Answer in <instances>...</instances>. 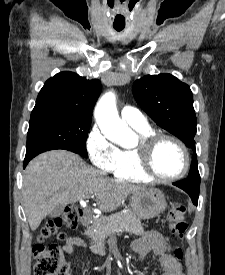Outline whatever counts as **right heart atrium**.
I'll return each mask as SVG.
<instances>
[{"label": "right heart atrium", "mask_w": 225, "mask_h": 275, "mask_svg": "<svg viewBox=\"0 0 225 275\" xmlns=\"http://www.w3.org/2000/svg\"><path fill=\"white\" fill-rule=\"evenodd\" d=\"M86 149L92 164L103 172H112L120 158V149L98 127L89 133Z\"/></svg>", "instance_id": "right-heart-atrium-1"}]
</instances>
